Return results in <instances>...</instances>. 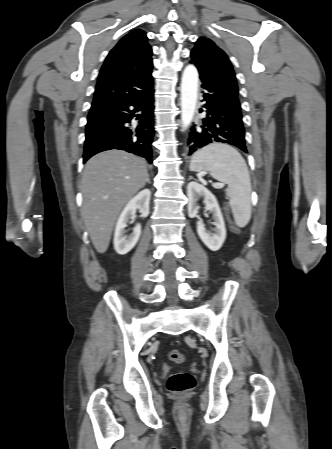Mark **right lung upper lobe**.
Returning <instances> with one entry per match:
<instances>
[{"instance_id":"cb5924a9","label":"right lung upper lobe","mask_w":332,"mask_h":449,"mask_svg":"<svg viewBox=\"0 0 332 449\" xmlns=\"http://www.w3.org/2000/svg\"><path fill=\"white\" fill-rule=\"evenodd\" d=\"M146 33L135 29L108 54L99 73L92 108L147 94L153 88L152 49Z\"/></svg>"}]
</instances>
